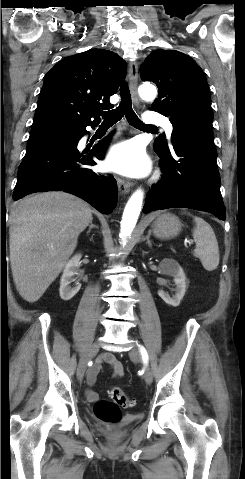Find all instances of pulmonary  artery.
I'll return each instance as SVG.
<instances>
[{"mask_svg": "<svg viewBox=\"0 0 245 479\" xmlns=\"http://www.w3.org/2000/svg\"><path fill=\"white\" fill-rule=\"evenodd\" d=\"M145 121L149 125L155 126L160 125L164 127L168 135H171L173 126L170 121L164 115L154 113V112H147L145 114Z\"/></svg>", "mask_w": 245, "mask_h": 479, "instance_id": "pulmonary-artery-1", "label": "pulmonary artery"}]
</instances>
